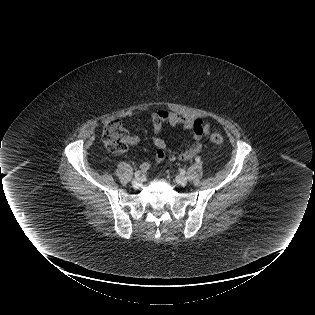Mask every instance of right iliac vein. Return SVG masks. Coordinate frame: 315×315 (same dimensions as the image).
I'll return each mask as SVG.
<instances>
[{"label": "right iliac vein", "instance_id": "obj_1", "mask_svg": "<svg viewBox=\"0 0 315 315\" xmlns=\"http://www.w3.org/2000/svg\"><path fill=\"white\" fill-rule=\"evenodd\" d=\"M142 184V179L139 177H136L132 180V185L135 187H139Z\"/></svg>", "mask_w": 315, "mask_h": 315}]
</instances>
